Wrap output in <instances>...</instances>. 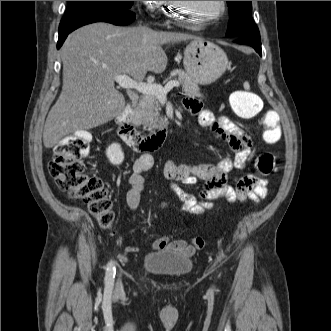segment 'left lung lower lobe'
<instances>
[{"instance_id":"left-lung-lower-lobe-1","label":"left lung lower lobe","mask_w":331,"mask_h":331,"mask_svg":"<svg viewBox=\"0 0 331 331\" xmlns=\"http://www.w3.org/2000/svg\"><path fill=\"white\" fill-rule=\"evenodd\" d=\"M234 39H235V42H238L240 44H247V45L252 46L256 50V52H258L259 55L262 56L260 35L242 36V37H236Z\"/></svg>"}]
</instances>
